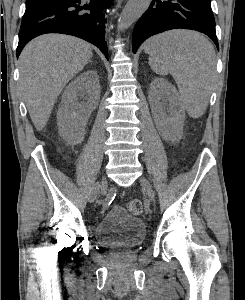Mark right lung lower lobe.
I'll return each mask as SVG.
<instances>
[{
	"instance_id": "98d812e1",
	"label": "right lung lower lobe",
	"mask_w": 245,
	"mask_h": 300,
	"mask_svg": "<svg viewBox=\"0 0 245 300\" xmlns=\"http://www.w3.org/2000/svg\"><path fill=\"white\" fill-rule=\"evenodd\" d=\"M111 0H50L27 8L19 31L17 57L34 37L61 33L82 38L100 48L108 59L105 8Z\"/></svg>"
}]
</instances>
